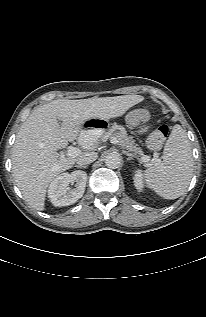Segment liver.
Returning a JSON list of instances; mask_svg holds the SVG:
<instances>
[{"instance_id":"6515ba94","label":"liver","mask_w":206,"mask_h":317,"mask_svg":"<svg viewBox=\"0 0 206 317\" xmlns=\"http://www.w3.org/2000/svg\"><path fill=\"white\" fill-rule=\"evenodd\" d=\"M143 99L134 94L58 99L34 109L17 133L12 149V173L28 204L38 211L44 210L49 183L75 164L78 156L65 157L57 150L77 138L84 149L94 147L95 140L83 143L87 139L81 135L85 121L120 117Z\"/></svg>"}]
</instances>
